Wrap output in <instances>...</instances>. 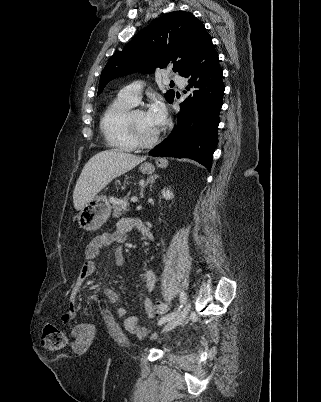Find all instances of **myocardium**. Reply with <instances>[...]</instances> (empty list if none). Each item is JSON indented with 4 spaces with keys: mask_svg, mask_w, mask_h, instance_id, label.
Returning a JSON list of instances; mask_svg holds the SVG:
<instances>
[{
    "mask_svg": "<svg viewBox=\"0 0 321 402\" xmlns=\"http://www.w3.org/2000/svg\"><path fill=\"white\" fill-rule=\"evenodd\" d=\"M138 111H143L140 108H136L133 110L128 111L125 117V126L127 133L132 140V142L139 148H149L154 146L160 139L163 129H160L152 138L150 139H143L138 134L134 122H133V114Z\"/></svg>",
    "mask_w": 321,
    "mask_h": 402,
    "instance_id": "1",
    "label": "myocardium"
}]
</instances>
